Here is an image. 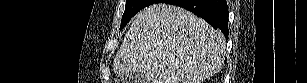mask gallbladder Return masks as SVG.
Returning <instances> with one entry per match:
<instances>
[{
	"mask_svg": "<svg viewBox=\"0 0 307 83\" xmlns=\"http://www.w3.org/2000/svg\"><path fill=\"white\" fill-rule=\"evenodd\" d=\"M123 83H146V77L144 74L135 72L124 76L122 79Z\"/></svg>",
	"mask_w": 307,
	"mask_h": 83,
	"instance_id": "obj_1",
	"label": "gallbladder"
}]
</instances>
